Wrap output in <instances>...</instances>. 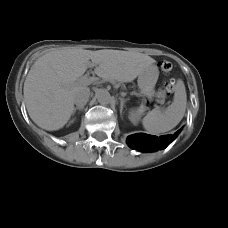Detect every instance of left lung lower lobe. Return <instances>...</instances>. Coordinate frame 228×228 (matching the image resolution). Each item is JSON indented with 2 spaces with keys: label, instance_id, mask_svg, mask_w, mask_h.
I'll list each match as a JSON object with an SVG mask.
<instances>
[{
  "label": "left lung lower lobe",
  "instance_id": "1",
  "mask_svg": "<svg viewBox=\"0 0 228 228\" xmlns=\"http://www.w3.org/2000/svg\"><path fill=\"white\" fill-rule=\"evenodd\" d=\"M178 130L174 135L154 136L145 133H137L127 138L128 145L136 150L143 152L156 151L167 147L179 134Z\"/></svg>",
  "mask_w": 228,
  "mask_h": 228
}]
</instances>
